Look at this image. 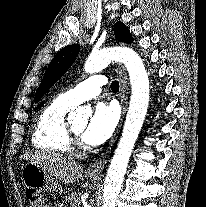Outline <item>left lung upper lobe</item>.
Masks as SVG:
<instances>
[{"label":"left lung upper lobe","mask_w":206,"mask_h":207,"mask_svg":"<svg viewBox=\"0 0 206 207\" xmlns=\"http://www.w3.org/2000/svg\"><path fill=\"white\" fill-rule=\"evenodd\" d=\"M114 34L118 40L126 43H131L133 41L132 36L127 29V27L121 23L117 22L114 26ZM80 46L77 44L69 45L62 48L54 57V59L49 64L45 75L42 79L40 86L38 87L35 94V102H38L43 94L48 91V89L64 75L68 68L74 62L76 56L78 55Z\"/></svg>","instance_id":"left-lung-upper-lobe-1"}]
</instances>
